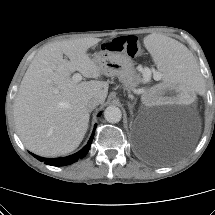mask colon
I'll use <instances>...</instances> for the list:
<instances>
[{
	"mask_svg": "<svg viewBox=\"0 0 215 215\" xmlns=\"http://www.w3.org/2000/svg\"><path fill=\"white\" fill-rule=\"evenodd\" d=\"M102 46L106 50L122 52L130 57H137L143 53L138 38L133 35L120 36L112 40L106 39L103 41Z\"/></svg>",
	"mask_w": 215,
	"mask_h": 215,
	"instance_id": "1",
	"label": "colon"
}]
</instances>
